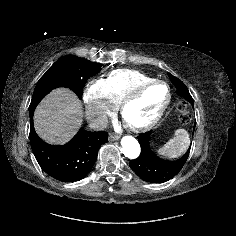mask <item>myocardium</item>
I'll use <instances>...</instances> for the list:
<instances>
[{
	"mask_svg": "<svg viewBox=\"0 0 236 236\" xmlns=\"http://www.w3.org/2000/svg\"><path fill=\"white\" fill-rule=\"evenodd\" d=\"M156 84L164 85L167 88L168 96H167L166 101L163 103V105L159 108L157 113L154 115V117L150 121H148L144 124H132V123L128 122L125 118V115H124L126 108L130 104H132L133 102L138 100L139 97L143 94V92L145 90H147L148 88H150L151 86L156 85ZM171 101H172V90H171L170 85L163 80L152 79L150 81L139 84L129 94H127L121 100V102L118 104V110H119V114L124 122L125 127L132 132L140 133V132H145V131L150 130L160 121L163 114L165 113V111L169 107Z\"/></svg>",
	"mask_w": 236,
	"mask_h": 236,
	"instance_id": "obj_1",
	"label": "myocardium"
}]
</instances>
